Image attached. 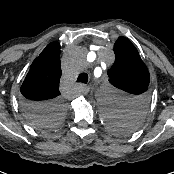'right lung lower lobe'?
<instances>
[{
	"label": "right lung lower lobe",
	"mask_w": 174,
	"mask_h": 174,
	"mask_svg": "<svg viewBox=\"0 0 174 174\" xmlns=\"http://www.w3.org/2000/svg\"><path fill=\"white\" fill-rule=\"evenodd\" d=\"M50 104H44V103H28V102H23V109L24 111H28L30 109H39V108H43L46 107Z\"/></svg>",
	"instance_id": "1"
}]
</instances>
